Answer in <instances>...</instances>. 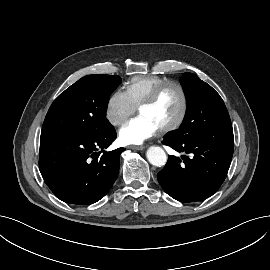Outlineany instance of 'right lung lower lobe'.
I'll use <instances>...</instances> for the list:
<instances>
[{
	"label": "right lung lower lobe",
	"mask_w": 270,
	"mask_h": 270,
	"mask_svg": "<svg viewBox=\"0 0 270 270\" xmlns=\"http://www.w3.org/2000/svg\"><path fill=\"white\" fill-rule=\"evenodd\" d=\"M115 139L114 127L98 136L41 134L39 169L55 196L78 205L104 197L117 177L124 148L100 150Z\"/></svg>",
	"instance_id": "obj_1"
}]
</instances>
